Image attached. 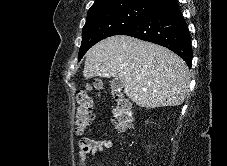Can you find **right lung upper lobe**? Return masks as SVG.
<instances>
[{
	"label": "right lung upper lobe",
	"mask_w": 227,
	"mask_h": 166,
	"mask_svg": "<svg viewBox=\"0 0 227 166\" xmlns=\"http://www.w3.org/2000/svg\"><path fill=\"white\" fill-rule=\"evenodd\" d=\"M164 1L166 0H96L88 12H91L100 8L128 3V2L147 4V5L156 7L161 3H163Z\"/></svg>",
	"instance_id": "1"
}]
</instances>
